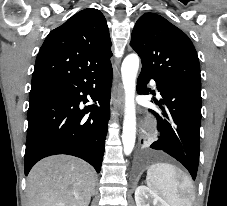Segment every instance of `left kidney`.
<instances>
[{
	"instance_id": "5707ae66",
	"label": "left kidney",
	"mask_w": 227,
	"mask_h": 206,
	"mask_svg": "<svg viewBox=\"0 0 227 206\" xmlns=\"http://www.w3.org/2000/svg\"><path fill=\"white\" fill-rule=\"evenodd\" d=\"M149 201H152L154 206H169L157 193L145 185H140L135 190L136 206H150Z\"/></svg>"
}]
</instances>
